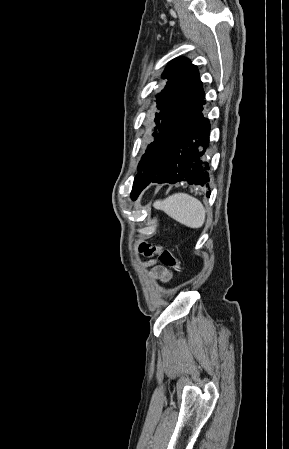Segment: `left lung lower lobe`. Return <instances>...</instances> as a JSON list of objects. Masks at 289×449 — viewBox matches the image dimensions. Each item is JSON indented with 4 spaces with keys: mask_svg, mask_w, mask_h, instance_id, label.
<instances>
[{
    "mask_svg": "<svg viewBox=\"0 0 289 449\" xmlns=\"http://www.w3.org/2000/svg\"><path fill=\"white\" fill-rule=\"evenodd\" d=\"M204 98L205 95L189 120L170 134L164 145L165 159L160 172L142 182L132 193L133 199L151 182L173 184L186 181L189 184L208 187L210 168L203 160V155L209 143L210 123L202 113ZM209 194L210 192L207 193L208 197Z\"/></svg>",
    "mask_w": 289,
    "mask_h": 449,
    "instance_id": "0a47b994",
    "label": "left lung lower lobe"
}]
</instances>
